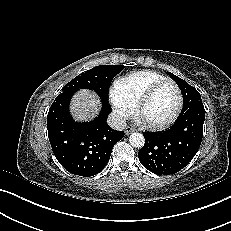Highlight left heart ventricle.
<instances>
[{
    "label": "left heart ventricle",
    "mask_w": 231,
    "mask_h": 231,
    "mask_svg": "<svg viewBox=\"0 0 231 231\" xmlns=\"http://www.w3.org/2000/svg\"><path fill=\"white\" fill-rule=\"evenodd\" d=\"M176 99L174 87L171 84L162 85L145 104L141 117L154 123L167 120L175 108Z\"/></svg>",
    "instance_id": "obj_1"
}]
</instances>
